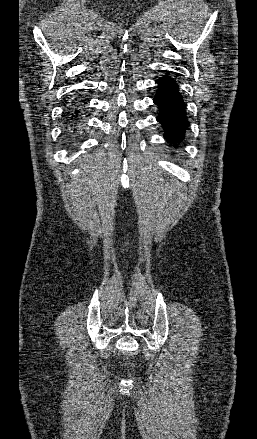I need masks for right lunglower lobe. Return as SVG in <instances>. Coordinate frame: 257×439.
<instances>
[{
    "label": "right lung lower lobe",
    "mask_w": 257,
    "mask_h": 439,
    "mask_svg": "<svg viewBox=\"0 0 257 439\" xmlns=\"http://www.w3.org/2000/svg\"><path fill=\"white\" fill-rule=\"evenodd\" d=\"M73 111V110H72ZM75 114H78V110H75ZM72 117H73V114H72ZM72 126V125H71Z\"/></svg>",
    "instance_id": "98d812e1"
}]
</instances>
